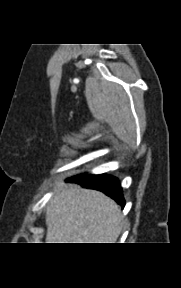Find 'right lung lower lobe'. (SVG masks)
I'll use <instances>...</instances> for the list:
<instances>
[{"label":"right lung lower lobe","instance_id":"right-lung-lower-lobe-1","mask_svg":"<svg viewBox=\"0 0 181 288\" xmlns=\"http://www.w3.org/2000/svg\"><path fill=\"white\" fill-rule=\"evenodd\" d=\"M70 181L79 183L88 189L102 191L120 204L122 208L125 206L122 188L118 179L115 177L105 174L93 175L85 173L71 178Z\"/></svg>","mask_w":181,"mask_h":288}]
</instances>
